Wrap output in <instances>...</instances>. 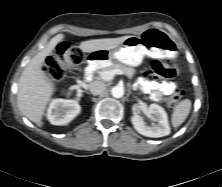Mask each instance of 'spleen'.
I'll return each instance as SVG.
<instances>
[{
  "mask_svg": "<svg viewBox=\"0 0 222 187\" xmlns=\"http://www.w3.org/2000/svg\"><path fill=\"white\" fill-rule=\"evenodd\" d=\"M191 100H182L175 108L172 113L171 122L174 128L180 126L188 117L191 110Z\"/></svg>",
  "mask_w": 222,
  "mask_h": 187,
  "instance_id": "1",
  "label": "spleen"
}]
</instances>
